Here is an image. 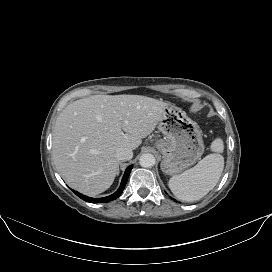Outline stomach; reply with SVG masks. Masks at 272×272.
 I'll return each instance as SVG.
<instances>
[{
  "mask_svg": "<svg viewBox=\"0 0 272 272\" xmlns=\"http://www.w3.org/2000/svg\"><path fill=\"white\" fill-rule=\"evenodd\" d=\"M164 141L156 142L163 160L161 169L176 175L195 164L204 152V142L199 125L180 108L167 106L158 122Z\"/></svg>",
  "mask_w": 272,
  "mask_h": 272,
  "instance_id": "stomach-1",
  "label": "stomach"
}]
</instances>
